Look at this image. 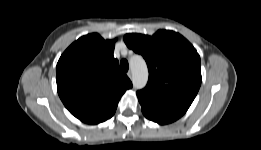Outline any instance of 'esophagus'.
<instances>
[{"mask_svg": "<svg viewBox=\"0 0 261 150\" xmlns=\"http://www.w3.org/2000/svg\"><path fill=\"white\" fill-rule=\"evenodd\" d=\"M127 76L131 79L132 78V76H133V73H132V71H129L128 73H127Z\"/></svg>", "mask_w": 261, "mask_h": 150, "instance_id": "1", "label": "esophagus"}]
</instances>
